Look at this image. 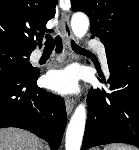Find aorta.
I'll return each mask as SVG.
<instances>
[{
    "label": "aorta",
    "mask_w": 139,
    "mask_h": 150,
    "mask_svg": "<svg viewBox=\"0 0 139 150\" xmlns=\"http://www.w3.org/2000/svg\"><path fill=\"white\" fill-rule=\"evenodd\" d=\"M71 28L77 38H82L89 28V19L86 14L76 12L71 18ZM86 124V109L84 104H80L75 109L67 131L65 140V150H80Z\"/></svg>",
    "instance_id": "1"
}]
</instances>
